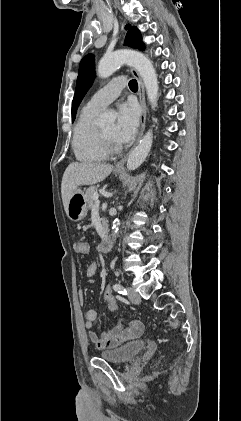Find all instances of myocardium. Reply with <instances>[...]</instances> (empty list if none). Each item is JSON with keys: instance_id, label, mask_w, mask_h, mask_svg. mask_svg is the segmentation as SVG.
<instances>
[{"instance_id": "f54148a6", "label": "myocardium", "mask_w": 241, "mask_h": 421, "mask_svg": "<svg viewBox=\"0 0 241 421\" xmlns=\"http://www.w3.org/2000/svg\"><path fill=\"white\" fill-rule=\"evenodd\" d=\"M100 138L109 154L117 153L121 150V147L116 142L108 138L102 131H100Z\"/></svg>"}]
</instances>
